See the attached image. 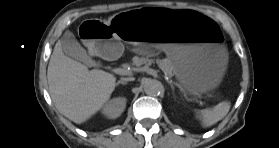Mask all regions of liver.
<instances>
[{
	"label": "liver",
	"mask_w": 279,
	"mask_h": 148,
	"mask_svg": "<svg viewBox=\"0 0 279 148\" xmlns=\"http://www.w3.org/2000/svg\"><path fill=\"white\" fill-rule=\"evenodd\" d=\"M47 79L56 109L77 124L96 114L110 99L116 85L114 75L98 69L89 70L66 56L59 41L49 61Z\"/></svg>",
	"instance_id": "1"
}]
</instances>
